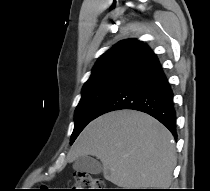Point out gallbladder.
Instances as JSON below:
<instances>
[{"label": "gallbladder", "instance_id": "gallbladder-1", "mask_svg": "<svg viewBox=\"0 0 210 191\" xmlns=\"http://www.w3.org/2000/svg\"><path fill=\"white\" fill-rule=\"evenodd\" d=\"M73 169L78 172H86L90 174H100L102 172V165L93 157L86 155L80 156L73 163Z\"/></svg>", "mask_w": 210, "mask_h": 191}]
</instances>
